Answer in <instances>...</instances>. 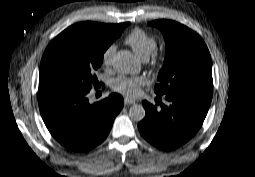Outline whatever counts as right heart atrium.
<instances>
[{
    "label": "right heart atrium",
    "instance_id": "right-heart-atrium-1",
    "mask_svg": "<svg viewBox=\"0 0 255 177\" xmlns=\"http://www.w3.org/2000/svg\"><path fill=\"white\" fill-rule=\"evenodd\" d=\"M116 45L114 43L109 44L102 54L103 64L109 65L111 63L112 57L115 53Z\"/></svg>",
    "mask_w": 255,
    "mask_h": 177
}]
</instances>
